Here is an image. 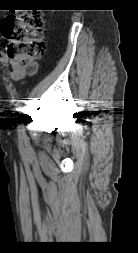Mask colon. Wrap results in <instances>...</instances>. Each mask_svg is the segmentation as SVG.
<instances>
[{
    "instance_id": "5ec220e1",
    "label": "colon",
    "mask_w": 138,
    "mask_h": 253,
    "mask_svg": "<svg viewBox=\"0 0 138 253\" xmlns=\"http://www.w3.org/2000/svg\"><path fill=\"white\" fill-rule=\"evenodd\" d=\"M43 27L44 20L37 13L11 14L0 23L1 33L8 41V56L29 73L35 69L34 61L46 51Z\"/></svg>"
}]
</instances>
